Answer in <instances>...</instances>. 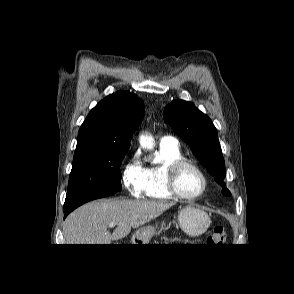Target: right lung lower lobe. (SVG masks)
Here are the masks:
<instances>
[{
    "label": "right lung lower lobe",
    "mask_w": 294,
    "mask_h": 294,
    "mask_svg": "<svg viewBox=\"0 0 294 294\" xmlns=\"http://www.w3.org/2000/svg\"><path fill=\"white\" fill-rule=\"evenodd\" d=\"M116 192H113V193H105V194H101V195H94V196H89V197H86L84 198L83 200L81 201H77V202H74L70 205H67V206H64V218L71 212L73 211L74 209H76L77 207H79L80 205L88 202V201H91V200H94V199H98V198H102V197H106V196H109V195H112Z\"/></svg>",
    "instance_id": "obj_1"
}]
</instances>
